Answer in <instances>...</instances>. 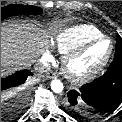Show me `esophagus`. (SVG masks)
Masks as SVG:
<instances>
[{
  "label": "esophagus",
  "mask_w": 122,
  "mask_h": 122,
  "mask_svg": "<svg viewBox=\"0 0 122 122\" xmlns=\"http://www.w3.org/2000/svg\"><path fill=\"white\" fill-rule=\"evenodd\" d=\"M46 78L54 79V78H56V73H54V72L47 73L46 74Z\"/></svg>",
  "instance_id": "esophagus-1"
}]
</instances>
